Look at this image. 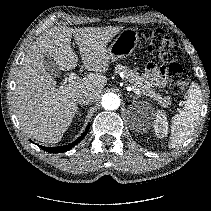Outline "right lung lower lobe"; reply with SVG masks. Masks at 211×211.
Returning <instances> with one entry per match:
<instances>
[{
    "instance_id": "1",
    "label": "right lung lower lobe",
    "mask_w": 211,
    "mask_h": 211,
    "mask_svg": "<svg viewBox=\"0 0 211 211\" xmlns=\"http://www.w3.org/2000/svg\"><path fill=\"white\" fill-rule=\"evenodd\" d=\"M90 129V124L86 127L85 131L82 133V135L76 139L74 142L65 145V146H61V147H45V146H39L41 149H43L44 151L50 152V153H63L66 152L70 149H72V147H74L75 145H77L84 137L85 135L88 133Z\"/></svg>"
}]
</instances>
